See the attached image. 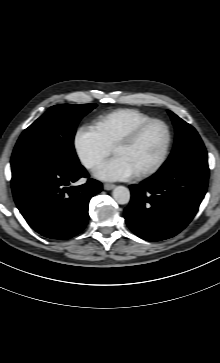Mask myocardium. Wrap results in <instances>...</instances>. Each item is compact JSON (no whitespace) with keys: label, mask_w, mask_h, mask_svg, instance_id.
Here are the masks:
<instances>
[{"label":"myocardium","mask_w":220,"mask_h":363,"mask_svg":"<svg viewBox=\"0 0 220 363\" xmlns=\"http://www.w3.org/2000/svg\"><path fill=\"white\" fill-rule=\"evenodd\" d=\"M154 124H159L165 129L166 143H165L164 149L162 151V154H161L159 160L150 168L136 173V175H135L136 178H146L151 175H154L165 165V163L169 157L170 150L172 147V141H173L172 130H171L170 126L168 125V123L165 122L164 120L158 119V118L149 119L145 122L138 124L133 129H131L129 132L122 135L114 143V145L112 147V151L114 152V150L118 147L127 146V145L132 144L133 142H135L138 139V137L142 134V132L145 129H147L149 126L154 125Z\"/></svg>","instance_id":"obj_1"}]
</instances>
